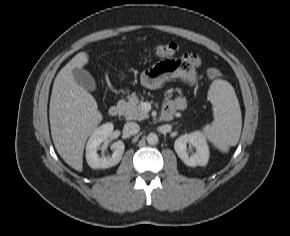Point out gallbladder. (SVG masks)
Returning <instances> with one entry per match:
<instances>
[{
	"label": "gallbladder",
	"instance_id": "bac80fb5",
	"mask_svg": "<svg viewBox=\"0 0 290 236\" xmlns=\"http://www.w3.org/2000/svg\"><path fill=\"white\" fill-rule=\"evenodd\" d=\"M75 81L85 90L95 91L97 86L93 76L82 68H75L73 70Z\"/></svg>",
	"mask_w": 290,
	"mask_h": 236
}]
</instances>
